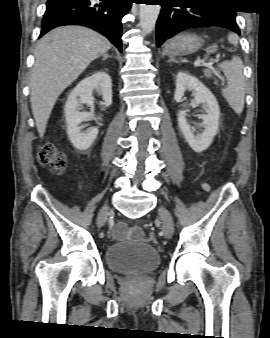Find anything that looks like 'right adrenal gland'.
<instances>
[{
    "label": "right adrenal gland",
    "mask_w": 270,
    "mask_h": 338,
    "mask_svg": "<svg viewBox=\"0 0 270 338\" xmlns=\"http://www.w3.org/2000/svg\"><path fill=\"white\" fill-rule=\"evenodd\" d=\"M107 58H111V56L108 55V54H104V56H103V61L106 60Z\"/></svg>",
    "instance_id": "2a0ac1e0"
}]
</instances>
